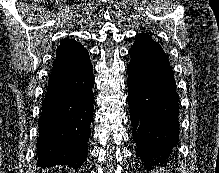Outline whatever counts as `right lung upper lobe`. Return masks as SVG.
I'll return each mask as SVG.
<instances>
[{
  "label": "right lung upper lobe",
  "instance_id": "cb5924a9",
  "mask_svg": "<svg viewBox=\"0 0 219 173\" xmlns=\"http://www.w3.org/2000/svg\"><path fill=\"white\" fill-rule=\"evenodd\" d=\"M87 50L75 40L65 38L60 42L57 49V59L62 61H71L73 57L80 56Z\"/></svg>",
  "mask_w": 219,
  "mask_h": 173
}]
</instances>
